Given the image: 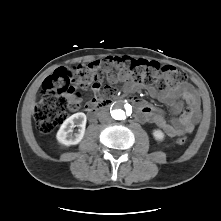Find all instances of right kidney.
Wrapping results in <instances>:
<instances>
[{"mask_svg":"<svg viewBox=\"0 0 221 221\" xmlns=\"http://www.w3.org/2000/svg\"><path fill=\"white\" fill-rule=\"evenodd\" d=\"M86 121V115L82 112L75 113L67 118L57 132L56 138L58 142L66 146L78 144L84 137ZM76 126L79 129L73 133V129Z\"/></svg>","mask_w":221,"mask_h":221,"instance_id":"1","label":"right kidney"}]
</instances>
